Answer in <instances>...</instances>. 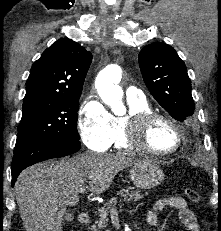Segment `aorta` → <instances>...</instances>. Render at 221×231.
Listing matches in <instances>:
<instances>
[{"label": "aorta", "mask_w": 221, "mask_h": 231, "mask_svg": "<svg viewBox=\"0 0 221 231\" xmlns=\"http://www.w3.org/2000/svg\"><path fill=\"white\" fill-rule=\"evenodd\" d=\"M121 78V68L117 65H109L98 74L95 82L99 96L115 114H121L124 108L123 90L119 86Z\"/></svg>", "instance_id": "aorta-1"}]
</instances>
